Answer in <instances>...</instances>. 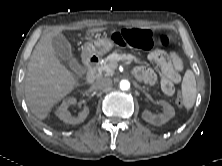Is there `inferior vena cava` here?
I'll list each match as a JSON object with an SVG mask.
<instances>
[{
	"label": "inferior vena cava",
	"instance_id": "inferior-vena-cava-1",
	"mask_svg": "<svg viewBox=\"0 0 222 166\" xmlns=\"http://www.w3.org/2000/svg\"><path fill=\"white\" fill-rule=\"evenodd\" d=\"M96 87L101 90H110L112 88V80L110 78H101L96 81Z\"/></svg>",
	"mask_w": 222,
	"mask_h": 166
}]
</instances>
